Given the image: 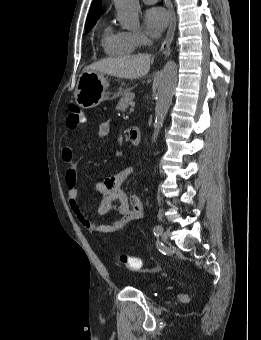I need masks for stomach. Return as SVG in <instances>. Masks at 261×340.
<instances>
[{"label": "stomach", "mask_w": 261, "mask_h": 340, "mask_svg": "<svg viewBox=\"0 0 261 340\" xmlns=\"http://www.w3.org/2000/svg\"><path fill=\"white\" fill-rule=\"evenodd\" d=\"M109 81L104 74L95 71H83L79 76L74 92L75 102L84 109L98 106L110 98ZM116 94L112 96L115 98Z\"/></svg>", "instance_id": "0dacf381"}]
</instances>
